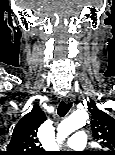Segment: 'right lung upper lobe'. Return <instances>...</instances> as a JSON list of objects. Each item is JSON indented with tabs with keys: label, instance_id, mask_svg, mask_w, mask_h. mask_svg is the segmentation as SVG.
<instances>
[{
	"label": "right lung upper lobe",
	"instance_id": "cb5924a9",
	"mask_svg": "<svg viewBox=\"0 0 115 155\" xmlns=\"http://www.w3.org/2000/svg\"><path fill=\"white\" fill-rule=\"evenodd\" d=\"M44 112L35 104L15 126L4 155H46L37 138L38 128L46 121Z\"/></svg>",
	"mask_w": 115,
	"mask_h": 155
}]
</instances>
